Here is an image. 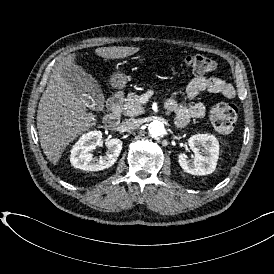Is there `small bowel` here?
I'll use <instances>...</instances> for the list:
<instances>
[{"mask_svg":"<svg viewBox=\"0 0 274 274\" xmlns=\"http://www.w3.org/2000/svg\"><path fill=\"white\" fill-rule=\"evenodd\" d=\"M202 92L217 93L226 99H233L236 96L232 84L215 77H195L186 87V95L190 100H195ZM166 108L174 114L175 123L180 127L187 125L192 119H201L206 114V106L202 102H194L186 106L170 98L166 101Z\"/></svg>","mask_w":274,"mask_h":274,"instance_id":"obj_1","label":"small bowel"}]
</instances>
